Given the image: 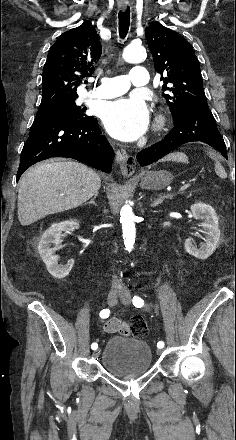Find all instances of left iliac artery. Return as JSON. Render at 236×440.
Instances as JSON below:
<instances>
[{"instance_id":"obj_1","label":"left iliac artery","mask_w":236,"mask_h":440,"mask_svg":"<svg viewBox=\"0 0 236 440\" xmlns=\"http://www.w3.org/2000/svg\"><path fill=\"white\" fill-rule=\"evenodd\" d=\"M133 305L137 308H141L142 306H144V301L139 297V296H134L133 297ZM157 347L158 348H163L164 347V342L163 341H159L157 343Z\"/></svg>"}]
</instances>
